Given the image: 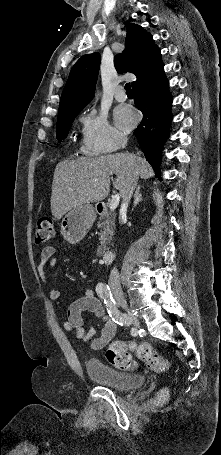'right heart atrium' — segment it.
Segmentation results:
<instances>
[{"instance_id": "d8ad5b80", "label": "right heart atrium", "mask_w": 221, "mask_h": 455, "mask_svg": "<svg viewBox=\"0 0 221 455\" xmlns=\"http://www.w3.org/2000/svg\"><path fill=\"white\" fill-rule=\"evenodd\" d=\"M80 150L88 156L116 151L124 141V134L114 127L106 116L96 110H88L80 117Z\"/></svg>"}]
</instances>
